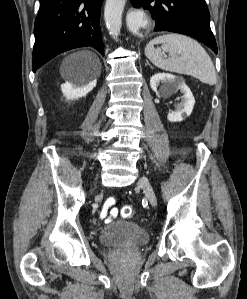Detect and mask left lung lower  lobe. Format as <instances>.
<instances>
[{"mask_svg": "<svg viewBox=\"0 0 247 299\" xmlns=\"http://www.w3.org/2000/svg\"><path fill=\"white\" fill-rule=\"evenodd\" d=\"M133 7H146L156 20L155 31L191 36L217 53L210 29V13L204 0H131Z\"/></svg>", "mask_w": 247, "mask_h": 299, "instance_id": "left-lung-lower-lobe-1", "label": "left lung lower lobe"}]
</instances>
